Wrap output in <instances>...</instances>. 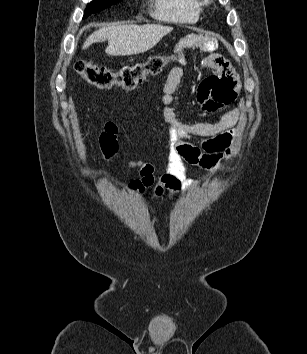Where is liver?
Here are the masks:
<instances>
[{"instance_id":"6515ba94","label":"liver","mask_w":307,"mask_h":354,"mask_svg":"<svg viewBox=\"0 0 307 354\" xmlns=\"http://www.w3.org/2000/svg\"><path fill=\"white\" fill-rule=\"evenodd\" d=\"M173 30L172 27L157 24L113 25L92 33L82 46L87 49L97 42L108 41L105 52L111 56L135 55L153 48Z\"/></svg>"}]
</instances>
